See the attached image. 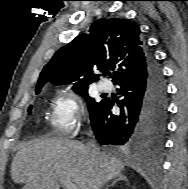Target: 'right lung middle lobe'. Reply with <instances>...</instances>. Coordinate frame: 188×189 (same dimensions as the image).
<instances>
[{"mask_svg": "<svg viewBox=\"0 0 188 189\" xmlns=\"http://www.w3.org/2000/svg\"><path fill=\"white\" fill-rule=\"evenodd\" d=\"M74 91L80 95H83L86 97V102L88 105V110L90 113V117H92L94 115V113L96 112V110L99 108V106L101 105V102H96L93 98H90L87 95V88H81V89H74ZM40 91H37L36 94H38ZM32 108V106H29V112L31 111L30 109Z\"/></svg>", "mask_w": 188, "mask_h": 189, "instance_id": "1", "label": "right lung middle lobe"}]
</instances>
